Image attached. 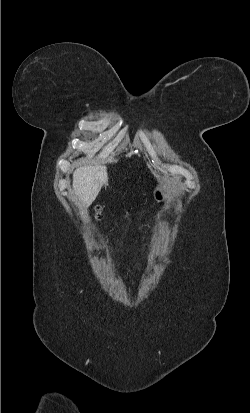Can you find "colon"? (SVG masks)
Instances as JSON below:
<instances>
[{"mask_svg": "<svg viewBox=\"0 0 250 413\" xmlns=\"http://www.w3.org/2000/svg\"><path fill=\"white\" fill-rule=\"evenodd\" d=\"M97 216H100V212H99V211L97 212Z\"/></svg>", "mask_w": 250, "mask_h": 413, "instance_id": "obj_1", "label": "colon"}]
</instances>
